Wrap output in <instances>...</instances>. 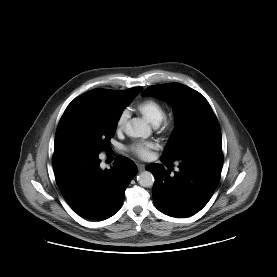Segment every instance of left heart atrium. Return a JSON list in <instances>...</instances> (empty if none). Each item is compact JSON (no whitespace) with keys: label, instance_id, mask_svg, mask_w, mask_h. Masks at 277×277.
<instances>
[{"label":"left heart atrium","instance_id":"left-heart-atrium-1","mask_svg":"<svg viewBox=\"0 0 277 277\" xmlns=\"http://www.w3.org/2000/svg\"><path fill=\"white\" fill-rule=\"evenodd\" d=\"M157 148V143L154 141H138L133 143L129 150L141 159H147L150 157V153L153 149Z\"/></svg>","mask_w":277,"mask_h":277}]
</instances>
